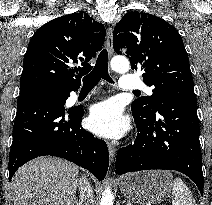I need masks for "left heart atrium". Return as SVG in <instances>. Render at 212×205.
I'll list each match as a JSON object with an SVG mask.
<instances>
[{
	"label": "left heart atrium",
	"mask_w": 212,
	"mask_h": 205,
	"mask_svg": "<svg viewBox=\"0 0 212 205\" xmlns=\"http://www.w3.org/2000/svg\"><path fill=\"white\" fill-rule=\"evenodd\" d=\"M87 126L99 136L118 138L126 133L129 123L120 105L114 100H106L91 107Z\"/></svg>",
	"instance_id": "39dd6f15"
}]
</instances>
